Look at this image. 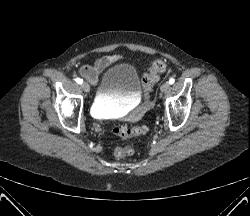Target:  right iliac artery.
<instances>
[{"label":"right iliac artery","instance_id":"1","mask_svg":"<svg viewBox=\"0 0 250 216\" xmlns=\"http://www.w3.org/2000/svg\"><path fill=\"white\" fill-rule=\"evenodd\" d=\"M75 81L78 83V84H82L83 80L80 79V78H76Z\"/></svg>","mask_w":250,"mask_h":216}]
</instances>
